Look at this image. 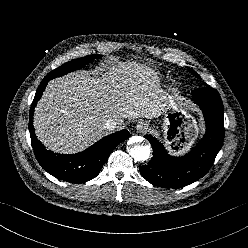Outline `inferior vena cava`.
<instances>
[{
  "instance_id": "obj_1",
  "label": "inferior vena cava",
  "mask_w": 248,
  "mask_h": 248,
  "mask_svg": "<svg viewBox=\"0 0 248 248\" xmlns=\"http://www.w3.org/2000/svg\"><path fill=\"white\" fill-rule=\"evenodd\" d=\"M117 125H118L117 121H115L113 119H109L106 121L104 128L106 130L112 131V130H115L117 128Z\"/></svg>"
}]
</instances>
